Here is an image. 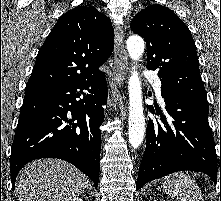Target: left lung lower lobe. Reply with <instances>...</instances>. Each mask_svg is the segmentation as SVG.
<instances>
[{
    "label": "left lung lower lobe",
    "instance_id": "0a47b994",
    "mask_svg": "<svg viewBox=\"0 0 221 201\" xmlns=\"http://www.w3.org/2000/svg\"><path fill=\"white\" fill-rule=\"evenodd\" d=\"M166 116L148 121L146 148L142 158L136 189L149 181L183 170L201 171L216 183L221 157L208 123V102L188 96L163 95ZM149 111L155 113L153 106Z\"/></svg>",
    "mask_w": 221,
    "mask_h": 201
}]
</instances>
